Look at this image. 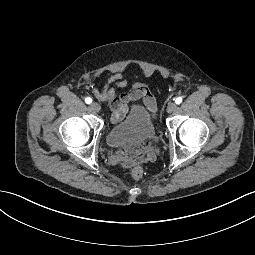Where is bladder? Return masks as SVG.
<instances>
[{"label":"bladder","instance_id":"31cf9c89","mask_svg":"<svg viewBox=\"0 0 255 255\" xmlns=\"http://www.w3.org/2000/svg\"><path fill=\"white\" fill-rule=\"evenodd\" d=\"M157 137V127L152 114L144 106L133 105L119 121L111 124L106 132L108 145L131 148L152 142Z\"/></svg>","mask_w":255,"mask_h":255}]
</instances>
